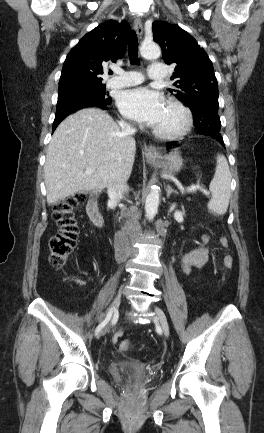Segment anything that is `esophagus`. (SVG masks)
Returning a JSON list of instances; mask_svg holds the SVG:
<instances>
[{"label": "esophagus", "instance_id": "34e87169", "mask_svg": "<svg viewBox=\"0 0 264 433\" xmlns=\"http://www.w3.org/2000/svg\"><path fill=\"white\" fill-rule=\"evenodd\" d=\"M134 29H135L137 35L139 37H141L143 34V25H142L141 19L139 17H136L134 20ZM144 154L148 160H155L159 156L157 149L152 145L145 146Z\"/></svg>", "mask_w": 264, "mask_h": 433}]
</instances>
